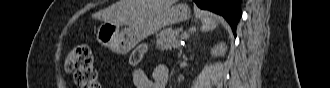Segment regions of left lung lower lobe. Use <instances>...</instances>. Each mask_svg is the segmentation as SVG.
<instances>
[{"label":"left lung lower lobe","instance_id":"1","mask_svg":"<svg viewBox=\"0 0 330 88\" xmlns=\"http://www.w3.org/2000/svg\"><path fill=\"white\" fill-rule=\"evenodd\" d=\"M198 7L222 15L236 36V26L241 17V0H193Z\"/></svg>","mask_w":330,"mask_h":88}]
</instances>
